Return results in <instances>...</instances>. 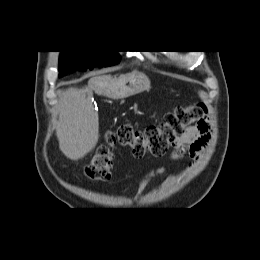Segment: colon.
Segmentation results:
<instances>
[{
    "label": "colon",
    "mask_w": 260,
    "mask_h": 260,
    "mask_svg": "<svg viewBox=\"0 0 260 260\" xmlns=\"http://www.w3.org/2000/svg\"><path fill=\"white\" fill-rule=\"evenodd\" d=\"M205 112L204 105L194 104L166 113L161 122L143 130H137L129 123L118 125L114 131L106 133L104 142L85 168L86 177L92 181L110 178L115 145L129 147L136 158L146 153L155 157L165 155L189 127L204 120Z\"/></svg>",
    "instance_id": "5ec220e1"
}]
</instances>
